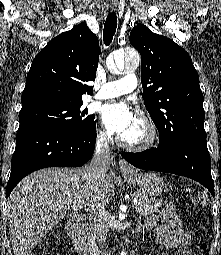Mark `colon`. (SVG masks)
I'll list each match as a JSON object with an SVG mask.
<instances>
[{
  "instance_id": "obj_1",
  "label": "colon",
  "mask_w": 221,
  "mask_h": 255,
  "mask_svg": "<svg viewBox=\"0 0 221 255\" xmlns=\"http://www.w3.org/2000/svg\"><path fill=\"white\" fill-rule=\"evenodd\" d=\"M192 201L195 205L200 206V207H204L207 204V197L204 193L202 192H197L192 196ZM200 249L202 251L206 250V244L202 243L200 245ZM35 255H47L46 253H37Z\"/></svg>"
}]
</instances>
